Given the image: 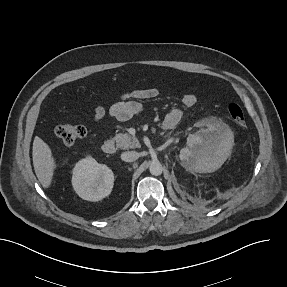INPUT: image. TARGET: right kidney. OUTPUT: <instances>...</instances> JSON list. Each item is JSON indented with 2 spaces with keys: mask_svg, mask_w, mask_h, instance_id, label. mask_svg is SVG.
Returning a JSON list of instances; mask_svg holds the SVG:
<instances>
[{
  "mask_svg": "<svg viewBox=\"0 0 287 287\" xmlns=\"http://www.w3.org/2000/svg\"><path fill=\"white\" fill-rule=\"evenodd\" d=\"M72 185L82 199L100 201L111 193L114 174L105 164H99L91 157L85 158L73 169Z\"/></svg>",
  "mask_w": 287,
  "mask_h": 287,
  "instance_id": "right-kidney-1",
  "label": "right kidney"
}]
</instances>
